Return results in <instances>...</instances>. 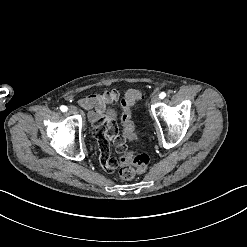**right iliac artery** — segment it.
Masks as SVG:
<instances>
[{"label": "right iliac artery", "instance_id": "82829eb1", "mask_svg": "<svg viewBox=\"0 0 247 247\" xmlns=\"http://www.w3.org/2000/svg\"><path fill=\"white\" fill-rule=\"evenodd\" d=\"M60 110L63 111V112H66L68 110V108H67V106L62 105L60 107Z\"/></svg>", "mask_w": 247, "mask_h": 247}]
</instances>
